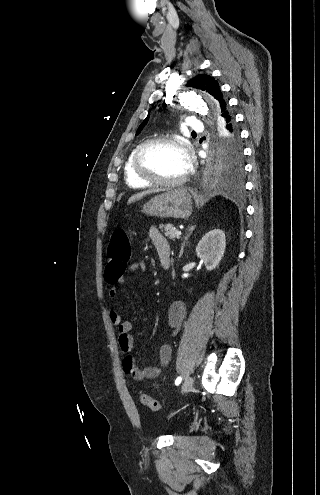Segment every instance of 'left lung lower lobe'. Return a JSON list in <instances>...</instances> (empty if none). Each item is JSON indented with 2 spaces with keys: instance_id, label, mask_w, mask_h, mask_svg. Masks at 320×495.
<instances>
[{
  "instance_id": "left-lung-lower-lobe-1",
  "label": "left lung lower lobe",
  "mask_w": 320,
  "mask_h": 495,
  "mask_svg": "<svg viewBox=\"0 0 320 495\" xmlns=\"http://www.w3.org/2000/svg\"><path fill=\"white\" fill-rule=\"evenodd\" d=\"M220 130L225 126L226 129L230 130L234 124V118L228 110L223 112L219 117Z\"/></svg>"
}]
</instances>
